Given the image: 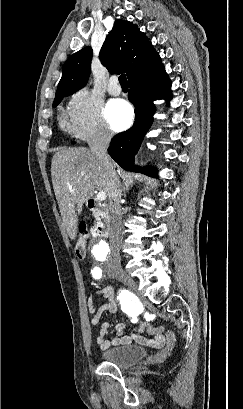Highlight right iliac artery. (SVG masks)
Instances as JSON below:
<instances>
[{
    "instance_id": "obj_1",
    "label": "right iliac artery",
    "mask_w": 243,
    "mask_h": 409,
    "mask_svg": "<svg viewBox=\"0 0 243 409\" xmlns=\"http://www.w3.org/2000/svg\"><path fill=\"white\" fill-rule=\"evenodd\" d=\"M91 273H92V275H93V277L95 279H100L102 277V270L100 268H94L93 270H91ZM119 299H120L123 307H125V310H126L127 313L129 311L133 312V309L131 308V304H129L130 299H129L128 295L125 292L122 291L119 294ZM132 322H137V319L135 321L133 319Z\"/></svg>"
}]
</instances>
